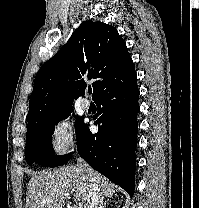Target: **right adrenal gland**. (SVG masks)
<instances>
[{
	"instance_id": "right-adrenal-gland-1",
	"label": "right adrenal gland",
	"mask_w": 199,
	"mask_h": 208,
	"mask_svg": "<svg viewBox=\"0 0 199 208\" xmlns=\"http://www.w3.org/2000/svg\"><path fill=\"white\" fill-rule=\"evenodd\" d=\"M107 204H108V201H105L104 204L101 206V208H106Z\"/></svg>"
}]
</instances>
